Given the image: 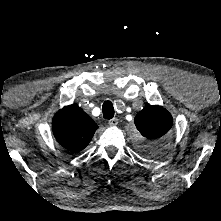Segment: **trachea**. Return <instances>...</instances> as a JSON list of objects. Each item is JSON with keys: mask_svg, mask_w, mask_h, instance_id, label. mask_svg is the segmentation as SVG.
<instances>
[{"mask_svg": "<svg viewBox=\"0 0 221 221\" xmlns=\"http://www.w3.org/2000/svg\"><path fill=\"white\" fill-rule=\"evenodd\" d=\"M102 111L105 119H112L114 117V107L110 101L103 103Z\"/></svg>", "mask_w": 221, "mask_h": 221, "instance_id": "3493384b", "label": "trachea"}]
</instances>
